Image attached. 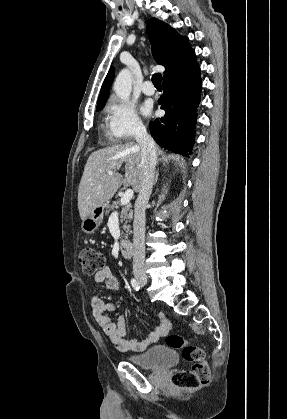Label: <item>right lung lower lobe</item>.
Wrapping results in <instances>:
<instances>
[{
	"label": "right lung lower lobe",
	"instance_id": "obj_1",
	"mask_svg": "<svg viewBox=\"0 0 287 419\" xmlns=\"http://www.w3.org/2000/svg\"><path fill=\"white\" fill-rule=\"evenodd\" d=\"M201 87L198 64L163 80V95L158 102L165 116L150 122L151 136L161 147L182 155L191 154Z\"/></svg>",
	"mask_w": 287,
	"mask_h": 419
}]
</instances>
